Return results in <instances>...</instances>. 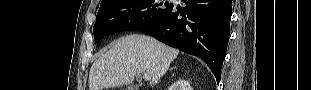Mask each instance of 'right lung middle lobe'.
Wrapping results in <instances>:
<instances>
[{
  "label": "right lung middle lobe",
  "instance_id": "right-lung-middle-lobe-1",
  "mask_svg": "<svg viewBox=\"0 0 311 90\" xmlns=\"http://www.w3.org/2000/svg\"><path fill=\"white\" fill-rule=\"evenodd\" d=\"M173 7L159 0H106L100 4L93 28L100 45L104 36L118 31L140 30L161 20Z\"/></svg>",
  "mask_w": 311,
  "mask_h": 90
}]
</instances>
